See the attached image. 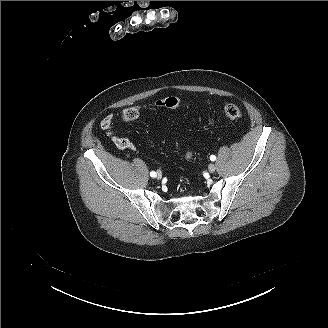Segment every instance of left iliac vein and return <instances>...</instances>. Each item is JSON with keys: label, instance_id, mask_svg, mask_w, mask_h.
<instances>
[{"label": "left iliac vein", "instance_id": "left-iliac-vein-1", "mask_svg": "<svg viewBox=\"0 0 328 328\" xmlns=\"http://www.w3.org/2000/svg\"><path fill=\"white\" fill-rule=\"evenodd\" d=\"M208 170H209V172L213 173L216 170V166L214 164H210L208 166Z\"/></svg>", "mask_w": 328, "mask_h": 328}]
</instances>
